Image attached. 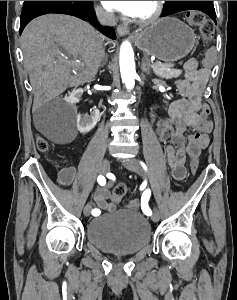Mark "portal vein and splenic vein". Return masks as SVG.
<instances>
[{"instance_id":"obj_1","label":"portal vein and splenic vein","mask_w":237,"mask_h":300,"mask_svg":"<svg viewBox=\"0 0 237 300\" xmlns=\"http://www.w3.org/2000/svg\"><path fill=\"white\" fill-rule=\"evenodd\" d=\"M172 63H174V62H172ZM172 63H160V64H172ZM153 64H155V65H151V68H172V67H174V66H172V65H158L159 63L158 62H156V63H153Z\"/></svg>"}]
</instances>
